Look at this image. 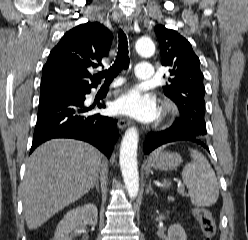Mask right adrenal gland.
<instances>
[{"label": "right adrenal gland", "mask_w": 248, "mask_h": 240, "mask_svg": "<svg viewBox=\"0 0 248 240\" xmlns=\"http://www.w3.org/2000/svg\"><path fill=\"white\" fill-rule=\"evenodd\" d=\"M94 187L96 188L97 192H99V180L96 181Z\"/></svg>", "instance_id": "1"}]
</instances>
